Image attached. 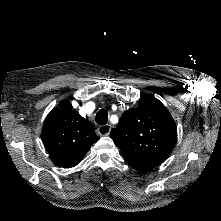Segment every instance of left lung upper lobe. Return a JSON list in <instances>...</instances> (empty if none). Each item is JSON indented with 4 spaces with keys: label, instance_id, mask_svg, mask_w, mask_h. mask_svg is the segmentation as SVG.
I'll list each match as a JSON object with an SVG mask.
<instances>
[{
    "label": "left lung upper lobe",
    "instance_id": "1",
    "mask_svg": "<svg viewBox=\"0 0 221 221\" xmlns=\"http://www.w3.org/2000/svg\"><path fill=\"white\" fill-rule=\"evenodd\" d=\"M111 138L134 169L147 172L163 162L172 150L177 127L166 107L152 95L137 108L125 111Z\"/></svg>",
    "mask_w": 221,
    "mask_h": 221
}]
</instances>
